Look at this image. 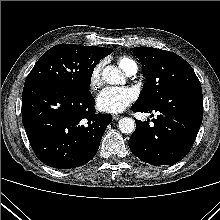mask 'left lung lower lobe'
Listing matches in <instances>:
<instances>
[{
	"label": "left lung lower lobe",
	"instance_id": "left-lung-lower-lobe-1",
	"mask_svg": "<svg viewBox=\"0 0 220 220\" xmlns=\"http://www.w3.org/2000/svg\"><path fill=\"white\" fill-rule=\"evenodd\" d=\"M135 112L159 113L156 119L135 120L136 130L129 139L132 153L151 165H173L182 160L194 144L203 118L201 86L171 93L155 104H133Z\"/></svg>",
	"mask_w": 220,
	"mask_h": 220
}]
</instances>
